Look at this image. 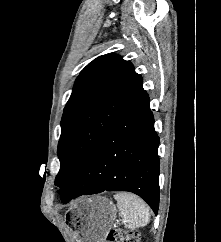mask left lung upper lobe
<instances>
[{
    "label": "left lung upper lobe",
    "instance_id": "left-lung-upper-lobe-1",
    "mask_svg": "<svg viewBox=\"0 0 221 242\" xmlns=\"http://www.w3.org/2000/svg\"><path fill=\"white\" fill-rule=\"evenodd\" d=\"M145 94L141 76L119 55L100 56L82 70L61 120L59 192L78 177L99 138Z\"/></svg>",
    "mask_w": 221,
    "mask_h": 242
}]
</instances>
